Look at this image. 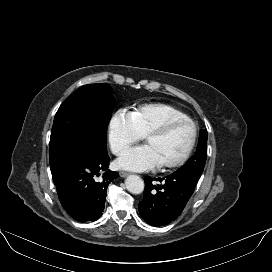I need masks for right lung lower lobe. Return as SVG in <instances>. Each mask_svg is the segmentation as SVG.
<instances>
[{"label": "right lung lower lobe", "instance_id": "1", "mask_svg": "<svg viewBox=\"0 0 272 272\" xmlns=\"http://www.w3.org/2000/svg\"><path fill=\"white\" fill-rule=\"evenodd\" d=\"M109 162L107 151H82L51 170L59 200L75 220L95 221L102 215L107 187L119 175L108 170Z\"/></svg>", "mask_w": 272, "mask_h": 272}]
</instances>
